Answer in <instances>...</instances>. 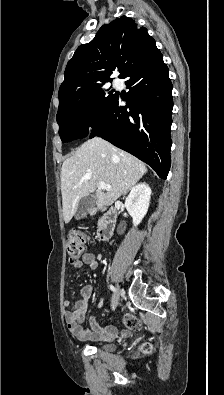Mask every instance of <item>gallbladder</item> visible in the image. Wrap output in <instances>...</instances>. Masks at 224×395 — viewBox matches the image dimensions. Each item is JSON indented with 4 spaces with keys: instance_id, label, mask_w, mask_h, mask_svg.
Returning a JSON list of instances; mask_svg holds the SVG:
<instances>
[{
    "instance_id": "1",
    "label": "gallbladder",
    "mask_w": 224,
    "mask_h": 395,
    "mask_svg": "<svg viewBox=\"0 0 224 395\" xmlns=\"http://www.w3.org/2000/svg\"><path fill=\"white\" fill-rule=\"evenodd\" d=\"M96 204H97V200L95 196L88 195L83 197L79 201L75 218L77 220L84 218L90 212V210H92L96 206Z\"/></svg>"
}]
</instances>
